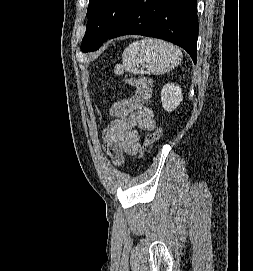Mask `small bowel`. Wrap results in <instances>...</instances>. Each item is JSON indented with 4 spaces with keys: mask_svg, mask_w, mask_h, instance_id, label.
<instances>
[{
    "mask_svg": "<svg viewBox=\"0 0 253 271\" xmlns=\"http://www.w3.org/2000/svg\"><path fill=\"white\" fill-rule=\"evenodd\" d=\"M151 97L150 89L138 87L126 99L115 102L110 113L111 124L103 130L105 149L114 165L123 163V153L136 155L140 152L141 134L155 129L153 110L147 106Z\"/></svg>",
    "mask_w": 253,
    "mask_h": 271,
    "instance_id": "small-bowel-1",
    "label": "small bowel"
}]
</instances>
